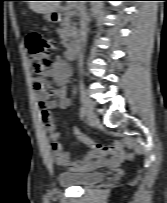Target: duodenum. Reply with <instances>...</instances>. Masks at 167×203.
<instances>
[{
    "label": "duodenum",
    "instance_id": "obj_1",
    "mask_svg": "<svg viewBox=\"0 0 167 203\" xmlns=\"http://www.w3.org/2000/svg\"><path fill=\"white\" fill-rule=\"evenodd\" d=\"M65 16V11L61 9H56L52 12V21L57 23L60 22ZM77 52V45L75 43H69L65 51V59L67 61H72L75 58Z\"/></svg>",
    "mask_w": 167,
    "mask_h": 203
}]
</instances>
